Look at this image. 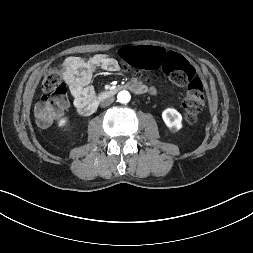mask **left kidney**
<instances>
[{"label": "left kidney", "mask_w": 253, "mask_h": 253, "mask_svg": "<svg viewBox=\"0 0 253 253\" xmlns=\"http://www.w3.org/2000/svg\"><path fill=\"white\" fill-rule=\"evenodd\" d=\"M162 119L172 132H176L182 128V115L174 108L165 109L162 112Z\"/></svg>", "instance_id": "left-kidney-1"}]
</instances>
